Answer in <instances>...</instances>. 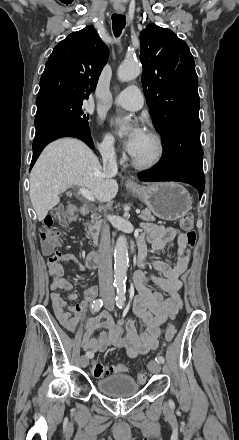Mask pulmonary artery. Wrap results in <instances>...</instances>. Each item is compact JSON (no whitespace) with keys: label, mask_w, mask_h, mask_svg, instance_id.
Returning a JSON list of instances; mask_svg holds the SVG:
<instances>
[{"label":"pulmonary artery","mask_w":239,"mask_h":440,"mask_svg":"<svg viewBox=\"0 0 239 440\" xmlns=\"http://www.w3.org/2000/svg\"><path fill=\"white\" fill-rule=\"evenodd\" d=\"M110 103H114L128 110H139L143 106V98L137 87L130 86L123 90L118 96L112 98Z\"/></svg>","instance_id":"obj_1"}]
</instances>
